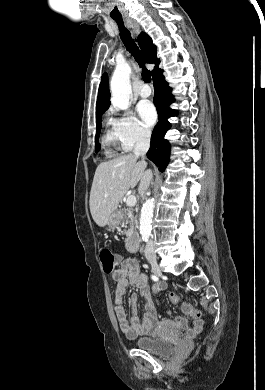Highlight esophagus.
Returning a JSON list of instances; mask_svg holds the SVG:
<instances>
[{"mask_svg": "<svg viewBox=\"0 0 265 390\" xmlns=\"http://www.w3.org/2000/svg\"><path fill=\"white\" fill-rule=\"evenodd\" d=\"M126 20L129 22V24L132 26V30L134 35H138L140 32V27L139 25L132 19L126 18Z\"/></svg>", "mask_w": 265, "mask_h": 390, "instance_id": "obj_1", "label": "esophagus"}]
</instances>
